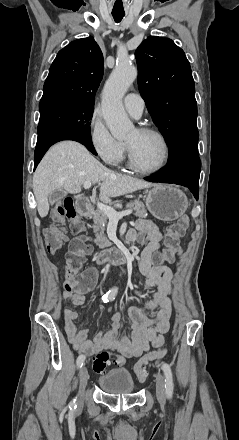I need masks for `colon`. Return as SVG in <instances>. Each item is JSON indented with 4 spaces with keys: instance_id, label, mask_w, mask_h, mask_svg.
<instances>
[{
    "instance_id": "1",
    "label": "colon",
    "mask_w": 239,
    "mask_h": 440,
    "mask_svg": "<svg viewBox=\"0 0 239 440\" xmlns=\"http://www.w3.org/2000/svg\"><path fill=\"white\" fill-rule=\"evenodd\" d=\"M53 219L57 222H63L65 219H68L70 221L71 229L75 234H81L84 230V223L80 219L71 199H66L64 204L54 211ZM188 225L189 218L187 216H182L167 228L165 247L154 257V262L156 264L162 265L165 261L173 259L179 245V240L185 234ZM45 239L48 251L56 253L60 249L62 242L65 240V236L57 228L49 227L45 230ZM90 250L91 248L85 242L84 238L79 237L73 241L70 251L67 254L65 276L72 279L77 288H82L94 279L92 275L84 276V273L80 274L85 261V256ZM167 351V348H161L142 356L135 365V372L138 378L140 380L145 379L147 375L146 366L150 362L164 357ZM110 363L109 352L102 351L98 353L93 360V370L96 373L101 374L106 371Z\"/></svg>"
}]
</instances>
